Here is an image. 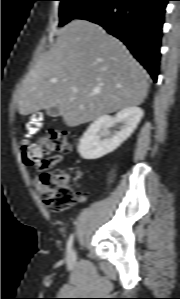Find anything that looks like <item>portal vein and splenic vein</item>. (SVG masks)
<instances>
[{"label":"portal vein and splenic vein","mask_w":180,"mask_h":299,"mask_svg":"<svg viewBox=\"0 0 180 299\" xmlns=\"http://www.w3.org/2000/svg\"><path fill=\"white\" fill-rule=\"evenodd\" d=\"M73 91H74V92H77L78 90H77V89H74Z\"/></svg>","instance_id":"1"}]
</instances>
